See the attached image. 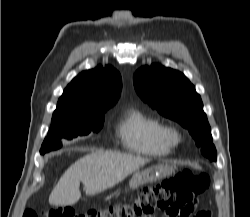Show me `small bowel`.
Segmentation results:
<instances>
[{
    "label": "small bowel",
    "instance_id": "1",
    "mask_svg": "<svg viewBox=\"0 0 250 217\" xmlns=\"http://www.w3.org/2000/svg\"><path fill=\"white\" fill-rule=\"evenodd\" d=\"M194 209H195V208H194ZM194 209H191L189 213L193 212V211H194ZM189 213H188V214H189ZM188 214H186V215H188ZM186 215H185V217H186Z\"/></svg>",
    "mask_w": 250,
    "mask_h": 217
}]
</instances>
